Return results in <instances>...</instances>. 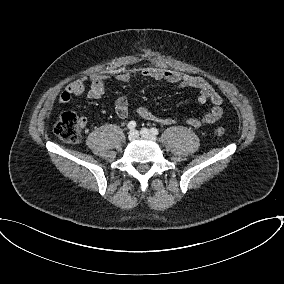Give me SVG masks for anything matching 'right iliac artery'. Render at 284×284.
I'll use <instances>...</instances> for the list:
<instances>
[{"mask_svg":"<svg viewBox=\"0 0 284 284\" xmlns=\"http://www.w3.org/2000/svg\"><path fill=\"white\" fill-rule=\"evenodd\" d=\"M127 126H128L129 129H134L136 127V122L130 121Z\"/></svg>","mask_w":284,"mask_h":284,"instance_id":"82829eb1","label":"right iliac artery"}]
</instances>
